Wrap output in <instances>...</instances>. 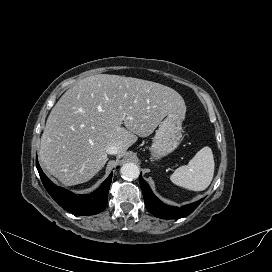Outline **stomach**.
<instances>
[{
    "mask_svg": "<svg viewBox=\"0 0 272 272\" xmlns=\"http://www.w3.org/2000/svg\"><path fill=\"white\" fill-rule=\"evenodd\" d=\"M182 122L183 118L178 113H169L160 122L151 146V154L154 159H160L178 147L182 137Z\"/></svg>",
    "mask_w": 272,
    "mask_h": 272,
    "instance_id": "1",
    "label": "stomach"
}]
</instances>
